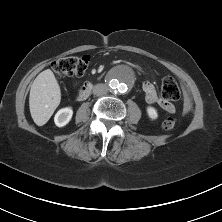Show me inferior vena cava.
<instances>
[{
	"label": "inferior vena cava",
	"mask_w": 222,
	"mask_h": 222,
	"mask_svg": "<svg viewBox=\"0 0 222 222\" xmlns=\"http://www.w3.org/2000/svg\"><path fill=\"white\" fill-rule=\"evenodd\" d=\"M108 92V86L106 84H96L93 87V94L97 96H103L106 95Z\"/></svg>",
	"instance_id": "602c4592"
}]
</instances>
